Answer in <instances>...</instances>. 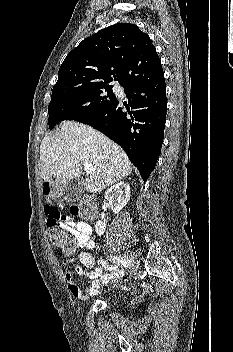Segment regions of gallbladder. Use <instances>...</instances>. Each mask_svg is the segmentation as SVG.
<instances>
[{"mask_svg":"<svg viewBox=\"0 0 233 352\" xmlns=\"http://www.w3.org/2000/svg\"><path fill=\"white\" fill-rule=\"evenodd\" d=\"M83 180L73 179L67 182L65 192L70 202H75L83 193Z\"/></svg>","mask_w":233,"mask_h":352,"instance_id":"1","label":"gallbladder"}]
</instances>
